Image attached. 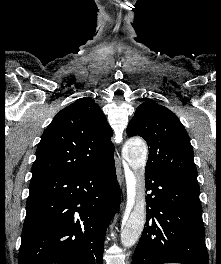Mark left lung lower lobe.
<instances>
[{
	"instance_id": "obj_1",
	"label": "left lung lower lobe",
	"mask_w": 221,
	"mask_h": 264,
	"mask_svg": "<svg viewBox=\"0 0 221 264\" xmlns=\"http://www.w3.org/2000/svg\"><path fill=\"white\" fill-rule=\"evenodd\" d=\"M146 223L132 264H209L199 185L145 172Z\"/></svg>"
}]
</instances>
